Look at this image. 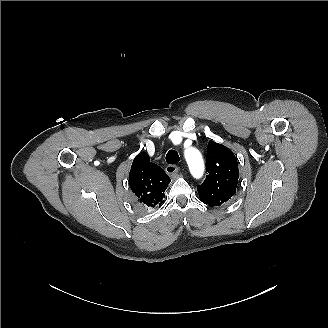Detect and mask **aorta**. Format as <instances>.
<instances>
[{
    "mask_svg": "<svg viewBox=\"0 0 328 328\" xmlns=\"http://www.w3.org/2000/svg\"><path fill=\"white\" fill-rule=\"evenodd\" d=\"M184 156L193 177L200 178L204 172V162L200 152L195 148H188L185 150Z\"/></svg>",
    "mask_w": 328,
    "mask_h": 328,
    "instance_id": "762f6f07",
    "label": "aorta"
}]
</instances>
